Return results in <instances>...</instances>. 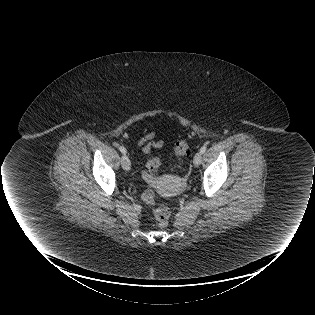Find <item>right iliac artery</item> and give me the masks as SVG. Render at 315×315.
<instances>
[{
	"label": "right iliac artery",
	"instance_id": "1",
	"mask_svg": "<svg viewBox=\"0 0 315 315\" xmlns=\"http://www.w3.org/2000/svg\"><path fill=\"white\" fill-rule=\"evenodd\" d=\"M119 150H120L123 154L126 153V149H125L123 146H120V147H119Z\"/></svg>",
	"mask_w": 315,
	"mask_h": 315
}]
</instances>
